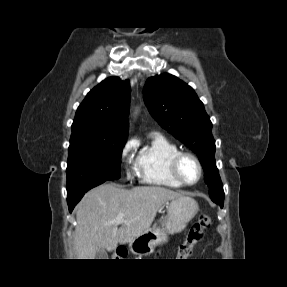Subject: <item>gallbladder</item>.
<instances>
[{
	"label": "gallbladder",
	"instance_id": "gallbladder-1",
	"mask_svg": "<svg viewBox=\"0 0 287 287\" xmlns=\"http://www.w3.org/2000/svg\"><path fill=\"white\" fill-rule=\"evenodd\" d=\"M96 259H105L106 258V254L105 251L103 249H100L96 252Z\"/></svg>",
	"mask_w": 287,
	"mask_h": 287
}]
</instances>
